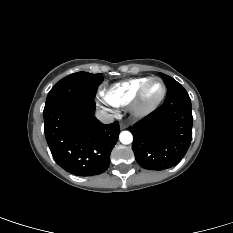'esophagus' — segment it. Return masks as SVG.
<instances>
[{
  "label": "esophagus",
  "instance_id": "34e87169",
  "mask_svg": "<svg viewBox=\"0 0 233 233\" xmlns=\"http://www.w3.org/2000/svg\"><path fill=\"white\" fill-rule=\"evenodd\" d=\"M128 126L125 123H120V128L121 129H126Z\"/></svg>",
  "mask_w": 233,
  "mask_h": 233
}]
</instances>
